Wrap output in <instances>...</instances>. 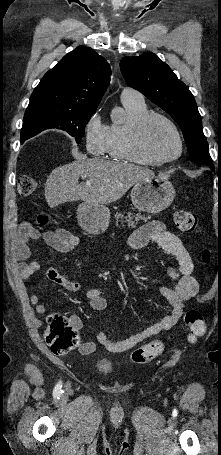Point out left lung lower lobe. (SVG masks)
<instances>
[{"label":"left lung lower lobe","instance_id":"1","mask_svg":"<svg viewBox=\"0 0 221 455\" xmlns=\"http://www.w3.org/2000/svg\"><path fill=\"white\" fill-rule=\"evenodd\" d=\"M208 166L211 168V170L214 171V165L212 163H210Z\"/></svg>","mask_w":221,"mask_h":455}]
</instances>
